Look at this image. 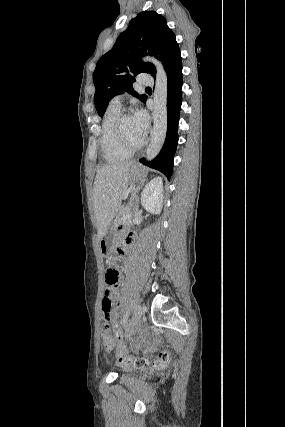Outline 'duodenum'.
Masks as SVG:
<instances>
[{
	"label": "duodenum",
	"instance_id": "1",
	"mask_svg": "<svg viewBox=\"0 0 285 427\" xmlns=\"http://www.w3.org/2000/svg\"><path fill=\"white\" fill-rule=\"evenodd\" d=\"M129 249H130V247H129V245H128L127 243H123V244H121V246H120V252H121L122 254H124V253L128 252V251H129Z\"/></svg>",
	"mask_w": 285,
	"mask_h": 427
}]
</instances>
